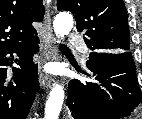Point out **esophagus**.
I'll list each match as a JSON object with an SVG mask.
<instances>
[{"label": "esophagus", "instance_id": "34e87169", "mask_svg": "<svg viewBox=\"0 0 142 119\" xmlns=\"http://www.w3.org/2000/svg\"><path fill=\"white\" fill-rule=\"evenodd\" d=\"M56 49L54 47V36L51 25L50 11H47L46 17L44 19V29L42 36V64L53 60L56 57ZM39 83L43 88H49L53 84V79L50 75L46 74L42 67L39 69Z\"/></svg>", "mask_w": 142, "mask_h": 119}]
</instances>
